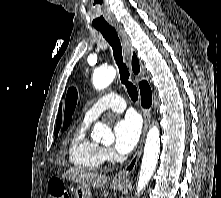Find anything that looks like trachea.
I'll list each match as a JSON object with an SVG mask.
<instances>
[{
	"mask_svg": "<svg viewBox=\"0 0 221 198\" xmlns=\"http://www.w3.org/2000/svg\"><path fill=\"white\" fill-rule=\"evenodd\" d=\"M96 29L101 32L105 40L112 47L113 56L119 68L120 80L122 84L126 86L127 92L131 99L136 101L138 99V91L137 88L129 81V71L126 64L123 62L122 47L116 30L111 26L99 27Z\"/></svg>",
	"mask_w": 221,
	"mask_h": 198,
	"instance_id": "obj_1",
	"label": "trachea"
}]
</instances>
